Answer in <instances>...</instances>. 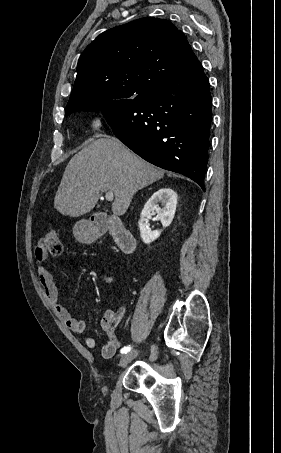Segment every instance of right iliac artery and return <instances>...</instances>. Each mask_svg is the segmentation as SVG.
<instances>
[{
  "label": "right iliac artery",
  "mask_w": 281,
  "mask_h": 453,
  "mask_svg": "<svg viewBox=\"0 0 281 453\" xmlns=\"http://www.w3.org/2000/svg\"><path fill=\"white\" fill-rule=\"evenodd\" d=\"M130 350H131V347L127 346V347H124V348L121 349V353H122V354H123V353L126 354V353L129 352Z\"/></svg>",
  "instance_id": "1"
}]
</instances>
